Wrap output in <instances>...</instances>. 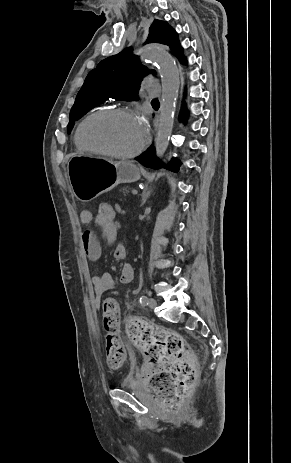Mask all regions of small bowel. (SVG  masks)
I'll return each mask as SVG.
<instances>
[{"label":"small bowel","instance_id":"small-bowel-1","mask_svg":"<svg viewBox=\"0 0 291 463\" xmlns=\"http://www.w3.org/2000/svg\"><path fill=\"white\" fill-rule=\"evenodd\" d=\"M80 220L84 225H90L92 222H95L100 226L98 224L97 214L94 216L92 211L87 209L81 211ZM100 228L102 230V236L107 242L112 243L115 241L118 233V226L116 223L114 226H100ZM81 243L86 256L94 262H99L101 258L100 244L92 230L87 229L82 233ZM126 256V247L122 244L117 245L114 249V257L124 259ZM133 278V267L128 263L124 264L120 272V283L128 284L132 282ZM91 282L96 297H100L116 287V281L109 273L94 275L91 277Z\"/></svg>","mask_w":291,"mask_h":463}]
</instances>
